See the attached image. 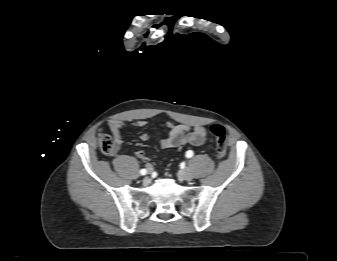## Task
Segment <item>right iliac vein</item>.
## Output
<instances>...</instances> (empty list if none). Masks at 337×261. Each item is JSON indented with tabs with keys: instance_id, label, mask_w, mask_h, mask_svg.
<instances>
[{
	"instance_id": "obj_1",
	"label": "right iliac vein",
	"mask_w": 337,
	"mask_h": 261,
	"mask_svg": "<svg viewBox=\"0 0 337 261\" xmlns=\"http://www.w3.org/2000/svg\"><path fill=\"white\" fill-rule=\"evenodd\" d=\"M150 172H151V170L149 169V170H148V173H150ZM147 179H148V178H146V180H147Z\"/></svg>"
}]
</instances>
